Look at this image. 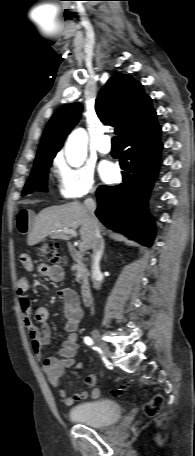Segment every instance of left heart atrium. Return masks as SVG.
Returning a JSON list of instances; mask_svg holds the SVG:
<instances>
[{
  "label": "left heart atrium",
  "mask_w": 195,
  "mask_h": 456,
  "mask_svg": "<svg viewBox=\"0 0 195 456\" xmlns=\"http://www.w3.org/2000/svg\"><path fill=\"white\" fill-rule=\"evenodd\" d=\"M99 174L103 181L112 182L117 176V169L112 163L103 162L99 167Z\"/></svg>",
  "instance_id": "left-heart-atrium-1"
}]
</instances>
